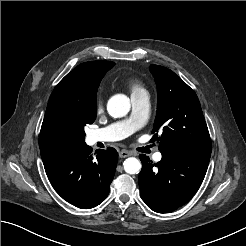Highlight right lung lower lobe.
<instances>
[{
	"label": "right lung lower lobe",
	"mask_w": 246,
	"mask_h": 246,
	"mask_svg": "<svg viewBox=\"0 0 246 246\" xmlns=\"http://www.w3.org/2000/svg\"><path fill=\"white\" fill-rule=\"evenodd\" d=\"M47 177L56 192L76 207L89 209L108 195L118 153L109 147L91 155L84 141L60 139L40 148Z\"/></svg>",
	"instance_id": "1"
}]
</instances>
